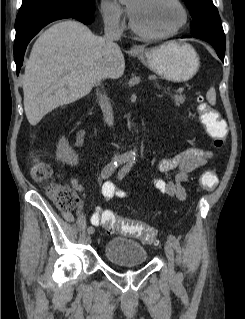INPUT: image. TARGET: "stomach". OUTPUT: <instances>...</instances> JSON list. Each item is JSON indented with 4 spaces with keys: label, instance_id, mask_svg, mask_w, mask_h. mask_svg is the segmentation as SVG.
Instances as JSON below:
<instances>
[{
    "label": "stomach",
    "instance_id": "0dacf381",
    "mask_svg": "<svg viewBox=\"0 0 245 319\" xmlns=\"http://www.w3.org/2000/svg\"><path fill=\"white\" fill-rule=\"evenodd\" d=\"M139 60L156 74L173 82L190 80L199 69V56L187 43L168 42L137 53Z\"/></svg>",
    "mask_w": 245,
    "mask_h": 319
}]
</instances>
